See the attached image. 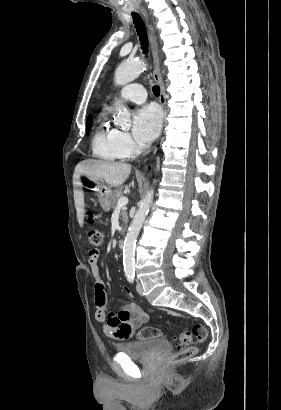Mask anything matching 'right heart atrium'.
<instances>
[{
  "label": "right heart atrium",
  "mask_w": 281,
  "mask_h": 410,
  "mask_svg": "<svg viewBox=\"0 0 281 410\" xmlns=\"http://www.w3.org/2000/svg\"><path fill=\"white\" fill-rule=\"evenodd\" d=\"M119 143L127 157L135 155L138 151L137 144L127 132L119 131Z\"/></svg>",
  "instance_id": "right-heart-atrium-1"
}]
</instances>
